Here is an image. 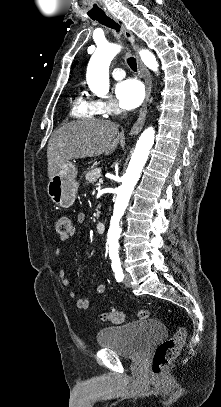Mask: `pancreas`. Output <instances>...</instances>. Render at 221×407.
I'll return each instance as SVG.
<instances>
[{
  "instance_id": "cf45deb5",
  "label": "pancreas",
  "mask_w": 221,
  "mask_h": 407,
  "mask_svg": "<svg viewBox=\"0 0 221 407\" xmlns=\"http://www.w3.org/2000/svg\"><path fill=\"white\" fill-rule=\"evenodd\" d=\"M101 175V168H94L89 171L85 176V182L87 185L95 184Z\"/></svg>"
}]
</instances>
